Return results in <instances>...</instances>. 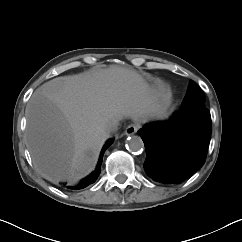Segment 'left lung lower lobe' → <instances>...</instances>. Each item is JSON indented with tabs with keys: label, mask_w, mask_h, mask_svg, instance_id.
<instances>
[{
	"label": "left lung lower lobe",
	"mask_w": 242,
	"mask_h": 242,
	"mask_svg": "<svg viewBox=\"0 0 242 242\" xmlns=\"http://www.w3.org/2000/svg\"><path fill=\"white\" fill-rule=\"evenodd\" d=\"M145 144V172L161 183H181L206 160L211 116L205 106L177 110L167 121L150 122L139 131Z\"/></svg>",
	"instance_id": "left-lung-lower-lobe-1"
}]
</instances>
